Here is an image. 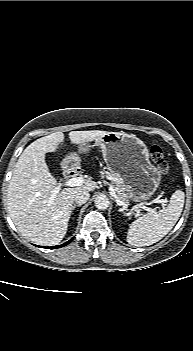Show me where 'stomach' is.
Returning a JSON list of instances; mask_svg holds the SVG:
<instances>
[{"mask_svg":"<svg viewBox=\"0 0 193 351\" xmlns=\"http://www.w3.org/2000/svg\"><path fill=\"white\" fill-rule=\"evenodd\" d=\"M96 141L107 169L123 178L132 200H148L160 184L161 172L150 162L146 144L136 135L126 132H108ZM88 148L86 144L79 151L84 153ZM67 160L76 161L77 157L74 154Z\"/></svg>","mask_w":193,"mask_h":351,"instance_id":"1","label":"stomach"}]
</instances>
